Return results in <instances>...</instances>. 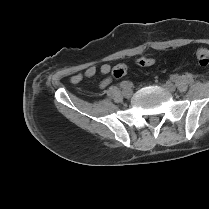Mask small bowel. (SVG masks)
<instances>
[{
    "label": "small bowel",
    "mask_w": 209,
    "mask_h": 209,
    "mask_svg": "<svg viewBox=\"0 0 209 209\" xmlns=\"http://www.w3.org/2000/svg\"><path fill=\"white\" fill-rule=\"evenodd\" d=\"M110 69H111V66L109 64H103L101 66V72L103 74H108L110 72ZM96 73V68L95 67H90L87 69V71L85 72V76L90 78V77H93ZM108 84V81L107 80H104L102 83H101V87L104 88L106 87Z\"/></svg>",
    "instance_id": "small-bowel-1"
}]
</instances>
